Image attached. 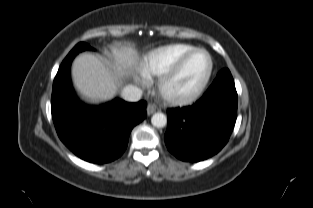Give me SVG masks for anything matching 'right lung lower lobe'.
Wrapping results in <instances>:
<instances>
[{
  "label": "right lung lower lobe",
  "mask_w": 313,
  "mask_h": 208,
  "mask_svg": "<svg viewBox=\"0 0 313 208\" xmlns=\"http://www.w3.org/2000/svg\"><path fill=\"white\" fill-rule=\"evenodd\" d=\"M79 52L67 55L54 79L53 122L59 138L75 155L92 163L111 162L125 151L132 128L145 119L146 102L114 99L100 106L80 102L70 79L71 62Z\"/></svg>",
  "instance_id": "right-lung-lower-lobe-1"
}]
</instances>
